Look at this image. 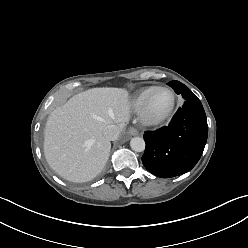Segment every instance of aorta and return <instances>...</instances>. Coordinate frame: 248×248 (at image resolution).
<instances>
[{
    "instance_id": "762f6f07",
    "label": "aorta",
    "mask_w": 248,
    "mask_h": 248,
    "mask_svg": "<svg viewBox=\"0 0 248 248\" xmlns=\"http://www.w3.org/2000/svg\"><path fill=\"white\" fill-rule=\"evenodd\" d=\"M130 147L135 152H142L145 150V141L141 137H133L130 141Z\"/></svg>"
}]
</instances>
